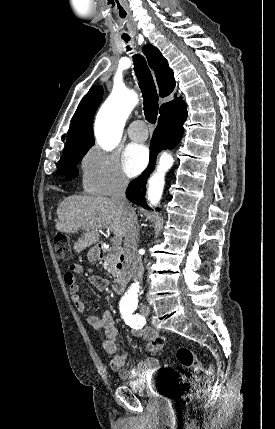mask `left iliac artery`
I'll return each mask as SVG.
<instances>
[{"label": "left iliac artery", "mask_w": 275, "mask_h": 429, "mask_svg": "<svg viewBox=\"0 0 275 429\" xmlns=\"http://www.w3.org/2000/svg\"><path fill=\"white\" fill-rule=\"evenodd\" d=\"M136 306H123L120 308L122 318L131 328L140 329L144 326L145 319L140 314H133Z\"/></svg>", "instance_id": "1"}]
</instances>
